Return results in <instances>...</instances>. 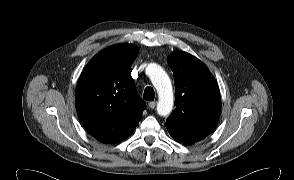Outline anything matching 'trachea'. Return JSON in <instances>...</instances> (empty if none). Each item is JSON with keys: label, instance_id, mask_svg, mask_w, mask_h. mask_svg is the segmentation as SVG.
Segmentation results:
<instances>
[{"label": "trachea", "instance_id": "obj_1", "mask_svg": "<svg viewBox=\"0 0 294 180\" xmlns=\"http://www.w3.org/2000/svg\"><path fill=\"white\" fill-rule=\"evenodd\" d=\"M155 97L154 89L152 87H146L143 98L147 101H153Z\"/></svg>", "mask_w": 294, "mask_h": 180}]
</instances>
